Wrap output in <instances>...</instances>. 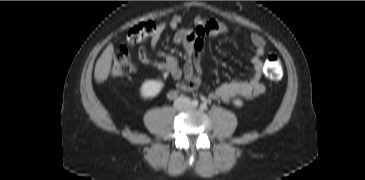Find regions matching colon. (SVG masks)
Wrapping results in <instances>:
<instances>
[{
	"label": "colon",
	"instance_id": "5ec220e1",
	"mask_svg": "<svg viewBox=\"0 0 365 180\" xmlns=\"http://www.w3.org/2000/svg\"><path fill=\"white\" fill-rule=\"evenodd\" d=\"M157 30V24L153 21L143 22L131 28L126 36L127 46L139 45L150 39ZM265 69L268 77L272 80H279L282 76V61L281 58L271 53L265 61ZM112 74L116 77L132 74L136 70L134 60L129 55L125 46L121 47L113 56Z\"/></svg>",
	"mask_w": 365,
	"mask_h": 180
}]
</instances>
